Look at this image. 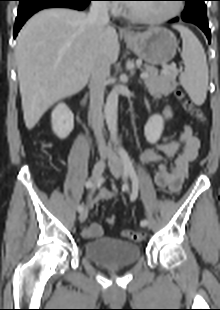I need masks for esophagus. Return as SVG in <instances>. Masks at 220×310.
<instances>
[{
	"label": "esophagus",
	"mask_w": 220,
	"mask_h": 310,
	"mask_svg": "<svg viewBox=\"0 0 220 310\" xmlns=\"http://www.w3.org/2000/svg\"><path fill=\"white\" fill-rule=\"evenodd\" d=\"M121 32H122L123 34H125V35H126V34H131V31L128 30V29H125V28L122 29Z\"/></svg>",
	"instance_id": "34e87169"
}]
</instances>
